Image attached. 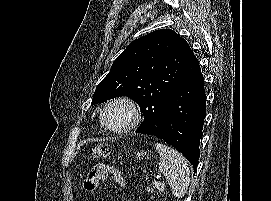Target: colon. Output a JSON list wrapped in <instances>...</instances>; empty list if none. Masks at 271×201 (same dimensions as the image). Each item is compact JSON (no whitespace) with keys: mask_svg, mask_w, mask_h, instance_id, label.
<instances>
[{"mask_svg":"<svg viewBox=\"0 0 271 201\" xmlns=\"http://www.w3.org/2000/svg\"><path fill=\"white\" fill-rule=\"evenodd\" d=\"M111 152V147L108 144L102 143L98 144L97 146L94 147L90 154L91 159H100V158H106L109 156Z\"/></svg>","mask_w":271,"mask_h":201,"instance_id":"colon-1","label":"colon"}]
</instances>
